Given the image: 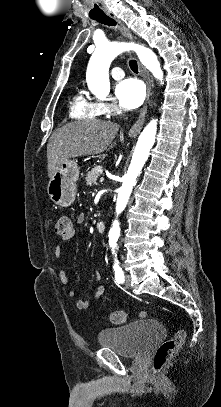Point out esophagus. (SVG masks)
<instances>
[{
  "mask_svg": "<svg viewBox=\"0 0 221 407\" xmlns=\"http://www.w3.org/2000/svg\"><path fill=\"white\" fill-rule=\"evenodd\" d=\"M106 14L112 18L113 20H115L119 26H120V30L121 32L127 36L128 38H132V34L130 33V31L126 28V26L123 24V22L121 20H118L116 18V16L111 12V11H106ZM139 68H140V72L143 75L146 84H147V96H146V100L145 103L140 111V115L138 120L131 126L128 135L130 137L136 136L142 129L143 124L145 122V115L147 112V104L149 103V98L151 96V78L150 75L148 73V71L139 63Z\"/></svg>",
  "mask_w": 221,
  "mask_h": 407,
  "instance_id": "esophagus-1",
  "label": "esophagus"
}]
</instances>
